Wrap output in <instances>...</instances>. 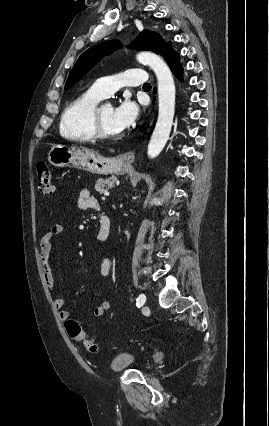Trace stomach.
<instances>
[{"instance_id":"0dacf381","label":"stomach","mask_w":269,"mask_h":426,"mask_svg":"<svg viewBox=\"0 0 269 426\" xmlns=\"http://www.w3.org/2000/svg\"><path fill=\"white\" fill-rule=\"evenodd\" d=\"M47 160L54 167H74L94 174H124L129 165L120 158H105L84 147L53 144L47 153Z\"/></svg>"}]
</instances>
